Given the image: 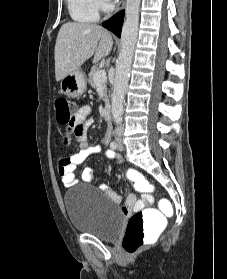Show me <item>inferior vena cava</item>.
<instances>
[{
  "label": "inferior vena cava",
  "mask_w": 227,
  "mask_h": 279,
  "mask_svg": "<svg viewBox=\"0 0 227 279\" xmlns=\"http://www.w3.org/2000/svg\"><path fill=\"white\" fill-rule=\"evenodd\" d=\"M115 135H121L123 133V125L121 123H119V125H117V127L115 128L114 131Z\"/></svg>",
  "instance_id": "602c4592"
}]
</instances>
